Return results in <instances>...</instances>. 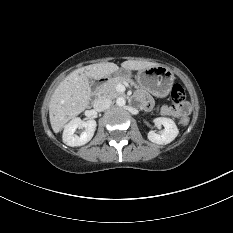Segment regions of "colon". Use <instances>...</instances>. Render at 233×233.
I'll return each mask as SVG.
<instances>
[{"label": "colon", "mask_w": 233, "mask_h": 233, "mask_svg": "<svg viewBox=\"0 0 233 233\" xmlns=\"http://www.w3.org/2000/svg\"><path fill=\"white\" fill-rule=\"evenodd\" d=\"M171 99L176 106L185 105L186 93L180 84H174L171 88ZM181 125L186 126L189 123V118L183 116L180 120Z\"/></svg>", "instance_id": "colon-1"}]
</instances>
